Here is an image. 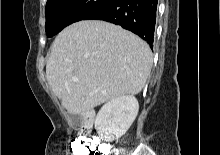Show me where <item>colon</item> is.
<instances>
[{"label":"colon","instance_id":"colon-1","mask_svg":"<svg viewBox=\"0 0 220 155\" xmlns=\"http://www.w3.org/2000/svg\"><path fill=\"white\" fill-rule=\"evenodd\" d=\"M72 149V155H104L107 148H101V143L89 142L78 137L72 141Z\"/></svg>","mask_w":220,"mask_h":155}]
</instances>
